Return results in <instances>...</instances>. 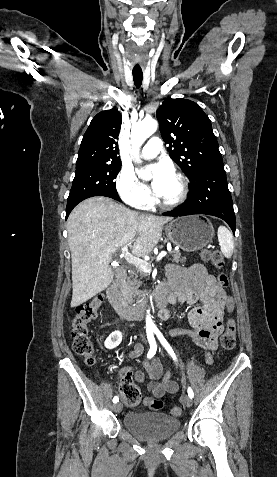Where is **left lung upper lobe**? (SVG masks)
<instances>
[{
	"mask_svg": "<svg viewBox=\"0 0 277 477\" xmlns=\"http://www.w3.org/2000/svg\"><path fill=\"white\" fill-rule=\"evenodd\" d=\"M156 116L162 138L169 144L170 157L190 182L203 167L223 162L211 121L197 103L167 98L158 108Z\"/></svg>",
	"mask_w": 277,
	"mask_h": 477,
	"instance_id": "1",
	"label": "left lung upper lobe"
}]
</instances>
